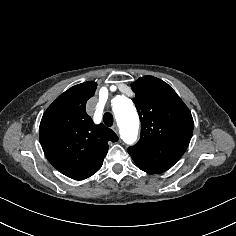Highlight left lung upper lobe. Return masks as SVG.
I'll return each instance as SVG.
<instances>
[{"label":"left lung upper lobe","mask_w":236,"mask_h":236,"mask_svg":"<svg viewBox=\"0 0 236 236\" xmlns=\"http://www.w3.org/2000/svg\"><path fill=\"white\" fill-rule=\"evenodd\" d=\"M131 88L136 95L141 138L127 151L141 170L162 173L182 157L189 145L193 133L191 112L176 92L156 77H141Z\"/></svg>","instance_id":"left-lung-upper-lobe-1"}]
</instances>
